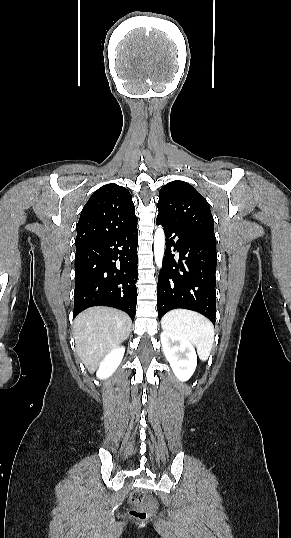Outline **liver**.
I'll return each mask as SVG.
<instances>
[{"instance_id":"liver-1","label":"liver","mask_w":291,"mask_h":538,"mask_svg":"<svg viewBox=\"0 0 291 538\" xmlns=\"http://www.w3.org/2000/svg\"><path fill=\"white\" fill-rule=\"evenodd\" d=\"M131 324L126 313L108 307L89 308L75 318V351L90 373L129 337Z\"/></svg>"}]
</instances>
